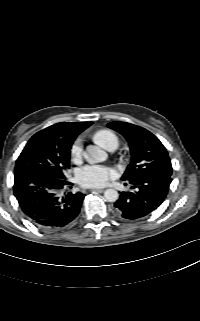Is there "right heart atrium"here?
<instances>
[{
    "label": "right heart atrium",
    "instance_id": "1",
    "mask_svg": "<svg viewBox=\"0 0 200 321\" xmlns=\"http://www.w3.org/2000/svg\"><path fill=\"white\" fill-rule=\"evenodd\" d=\"M70 156L74 162H79L82 158V145L79 140L73 142L70 148Z\"/></svg>",
    "mask_w": 200,
    "mask_h": 321
}]
</instances>
